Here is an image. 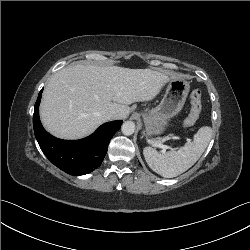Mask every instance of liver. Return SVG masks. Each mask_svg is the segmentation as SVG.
Here are the masks:
<instances>
[{
  "label": "liver",
  "instance_id": "obj_1",
  "mask_svg": "<svg viewBox=\"0 0 250 250\" xmlns=\"http://www.w3.org/2000/svg\"><path fill=\"white\" fill-rule=\"evenodd\" d=\"M174 78L167 71L72 65L56 72L45 87L41 122L56 137L79 139L108 121L110 111L115 119L126 118L128 105L154 99Z\"/></svg>",
  "mask_w": 250,
  "mask_h": 250
}]
</instances>
